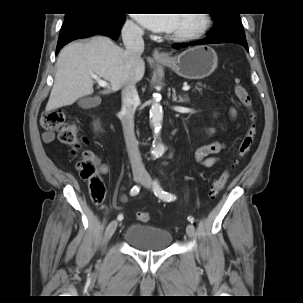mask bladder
<instances>
[{"mask_svg": "<svg viewBox=\"0 0 303 303\" xmlns=\"http://www.w3.org/2000/svg\"><path fill=\"white\" fill-rule=\"evenodd\" d=\"M124 241L134 248L146 251L164 250L172 241L169 231L146 224H131L124 234Z\"/></svg>", "mask_w": 303, "mask_h": 303, "instance_id": "bladder-1", "label": "bladder"}]
</instances>
